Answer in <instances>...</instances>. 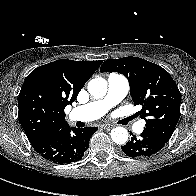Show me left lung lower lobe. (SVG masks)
Listing matches in <instances>:
<instances>
[{
  "label": "left lung lower lobe",
  "instance_id": "1",
  "mask_svg": "<svg viewBox=\"0 0 196 196\" xmlns=\"http://www.w3.org/2000/svg\"><path fill=\"white\" fill-rule=\"evenodd\" d=\"M165 144L166 143L158 136L144 130L140 137L133 135L126 145L121 146V149L122 152L129 157L143 158L157 153L165 146Z\"/></svg>",
  "mask_w": 196,
  "mask_h": 196
}]
</instances>
